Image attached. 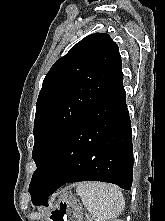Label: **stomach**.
Returning <instances> with one entry per match:
<instances>
[{"label":"stomach","instance_id":"1","mask_svg":"<svg viewBox=\"0 0 165 221\" xmlns=\"http://www.w3.org/2000/svg\"><path fill=\"white\" fill-rule=\"evenodd\" d=\"M51 217H67L52 218V221H81V206L71 193H66L59 198L58 204H53Z\"/></svg>","mask_w":165,"mask_h":221}]
</instances>
